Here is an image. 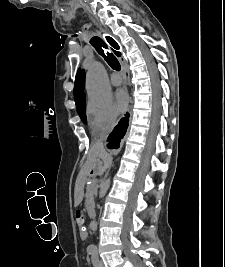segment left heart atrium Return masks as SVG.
Masks as SVG:
<instances>
[{
  "instance_id": "1",
  "label": "left heart atrium",
  "mask_w": 225,
  "mask_h": 267,
  "mask_svg": "<svg viewBox=\"0 0 225 267\" xmlns=\"http://www.w3.org/2000/svg\"><path fill=\"white\" fill-rule=\"evenodd\" d=\"M128 95L124 90H118L114 96L115 106L118 111H124L128 105Z\"/></svg>"
}]
</instances>
